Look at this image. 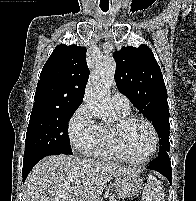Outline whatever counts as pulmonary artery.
I'll return each mask as SVG.
<instances>
[{"instance_id":"1","label":"pulmonary artery","mask_w":196,"mask_h":201,"mask_svg":"<svg viewBox=\"0 0 196 201\" xmlns=\"http://www.w3.org/2000/svg\"><path fill=\"white\" fill-rule=\"evenodd\" d=\"M111 102H112V106L116 110L125 111V112L130 110V101L122 93H119V92L114 93L112 96Z\"/></svg>"}]
</instances>
